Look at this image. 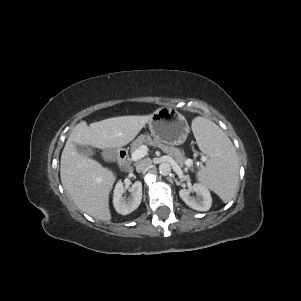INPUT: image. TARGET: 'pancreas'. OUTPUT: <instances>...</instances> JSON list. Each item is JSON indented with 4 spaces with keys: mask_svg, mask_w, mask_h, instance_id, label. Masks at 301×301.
Instances as JSON below:
<instances>
[{
    "mask_svg": "<svg viewBox=\"0 0 301 301\" xmlns=\"http://www.w3.org/2000/svg\"><path fill=\"white\" fill-rule=\"evenodd\" d=\"M148 145V146H154L160 148L163 152L166 154L172 156L175 161L180 165L183 166L186 159L182 155L180 149L175 148L173 146H167L165 144H162L161 142L157 141L156 139H152L148 135H140L137 139H135L131 144V152H134L136 149H138L141 145Z\"/></svg>",
    "mask_w": 301,
    "mask_h": 301,
    "instance_id": "cf45deb5",
    "label": "pancreas"
}]
</instances>
